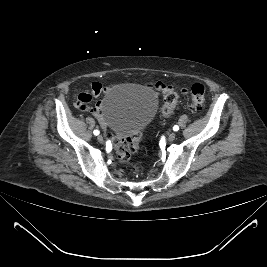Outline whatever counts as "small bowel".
I'll return each instance as SVG.
<instances>
[{"label": "small bowel", "instance_id": "c3829d8e", "mask_svg": "<svg viewBox=\"0 0 267 267\" xmlns=\"http://www.w3.org/2000/svg\"><path fill=\"white\" fill-rule=\"evenodd\" d=\"M150 87H153L158 92L165 93L172 89L171 86L163 83V82H154L149 85ZM108 90L107 87L103 86L99 82H94L91 86L90 91L80 93L76 100V106L84 111L92 112L100 121L102 120V103L99 102L95 106L91 105V102L93 99L100 96L103 92H106ZM185 92V90H183Z\"/></svg>", "mask_w": 267, "mask_h": 267}]
</instances>
